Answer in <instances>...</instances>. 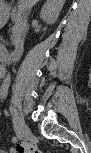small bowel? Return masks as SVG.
Here are the masks:
<instances>
[{
	"label": "small bowel",
	"instance_id": "c3829d8e",
	"mask_svg": "<svg viewBox=\"0 0 91 153\" xmlns=\"http://www.w3.org/2000/svg\"><path fill=\"white\" fill-rule=\"evenodd\" d=\"M8 65L4 59L1 60V71L3 77V83L0 90V95L2 98L6 97L8 91V84H9V76H8ZM12 142H16V139L13 138ZM11 153H14V149H10Z\"/></svg>",
	"mask_w": 91,
	"mask_h": 153
}]
</instances>
